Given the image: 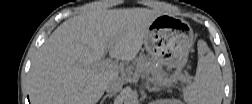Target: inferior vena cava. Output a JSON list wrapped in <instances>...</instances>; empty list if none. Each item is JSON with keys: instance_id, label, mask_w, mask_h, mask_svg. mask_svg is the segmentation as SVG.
I'll list each match as a JSON object with an SVG mask.
<instances>
[{"instance_id": "inferior-vena-cava-1", "label": "inferior vena cava", "mask_w": 252, "mask_h": 104, "mask_svg": "<svg viewBox=\"0 0 252 104\" xmlns=\"http://www.w3.org/2000/svg\"><path fill=\"white\" fill-rule=\"evenodd\" d=\"M121 89H122V83L117 80H112V81L108 82L105 87V90L111 94H115V93L121 91Z\"/></svg>"}]
</instances>
